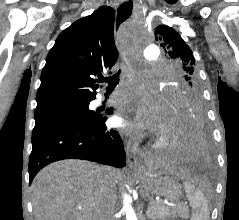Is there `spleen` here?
<instances>
[{"instance_id":"spleen-1","label":"spleen","mask_w":239,"mask_h":220,"mask_svg":"<svg viewBox=\"0 0 239 220\" xmlns=\"http://www.w3.org/2000/svg\"><path fill=\"white\" fill-rule=\"evenodd\" d=\"M184 189L193 210L190 220H209L210 209L203 193L189 181L184 182Z\"/></svg>"}]
</instances>
